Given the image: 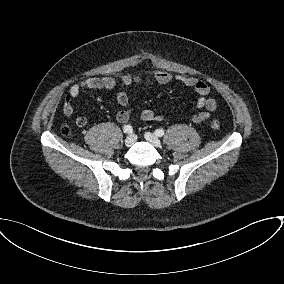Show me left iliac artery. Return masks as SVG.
<instances>
[{
  "label": "left iliac artery",
  "mask_w": 284,
  "mask_h": 284,
  "mask_svg": "<svg viewBox=\"0 0 284 284\" xmlns=\"http://www.w3.org/2000/svg\"><path fill=\"white\" fill-rule=\"evenodd\" d=\"M155 135L158 137H162L164 135V130L163 129L155 130Z\"/></svg>",
  "instance_id": "1"
}]
</instances>
